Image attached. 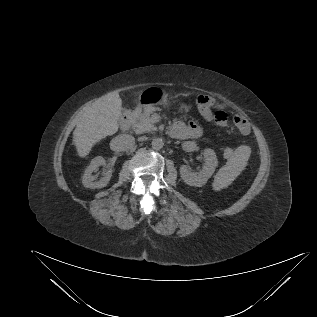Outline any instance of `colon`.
I'll return each mask as SVG.
<instances>
[{
	"label": "colon",
	"instance_id": "1",
	"mask_svg": "<svg viewBox=\"0 0 317 317\" xmlns=\"http://www.w3.org/2000/svg\"><path fill=\"white\" fill-rule=\"evenodd\" d=\"M196 105L199 111L207 118H213L218 123H223L226 119V114L224 111L218 109L212 113V109L216 106V101L208 96L201 95L196 99ZM186 108V107H185ZM236 124H240L238 115L234 117Z\"/></svg>",
	"mask_w": 317,
	"mask_h": 317
}]
</instances>
